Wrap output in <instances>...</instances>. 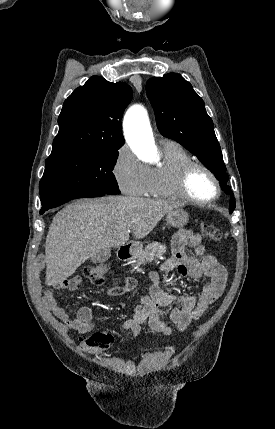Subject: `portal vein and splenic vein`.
Masks as SVG:
<instances>
[{"label":"portal vein and splenic vein","mask_w":275,"mask_h":429,"mask_svg":"<svg viewBox=\"0 0 275 429\" xmlns=\"http://www.w3.org/2000/svg\"><path fill=\"white\" fill-rule=\"evenodd\" d=\"M131 227H128V231H130Z\"/></svg>","instance_id":"18ae733b"}]
</instances>
